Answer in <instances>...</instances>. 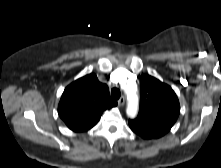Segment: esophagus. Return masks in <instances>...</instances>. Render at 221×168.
<instances>
[{"label": "esophagus", "mask_w": 221, "mask_h": 168, "mask_svg": "<svg viewBox=\"0 0 221 168\" xmlns=\"http://www.w3.org/2000/svg\"><path fill=\"white\" fill-rule=\"evenodd\" d=\"M125 104V97L121 96L118 100V105L119 106H123Z\"/></svg>", "instance_id": "esophagus-1"}]
</instances>
